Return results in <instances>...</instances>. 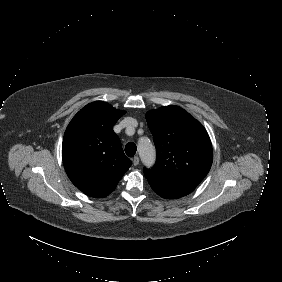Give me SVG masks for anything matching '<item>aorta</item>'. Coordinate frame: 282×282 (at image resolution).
Wrapping results in <instances>:
<instances>
[{"mask_svg":"<svg viewBox=\"0 0 282 282\" xmlns=\"http://www.w3.org/2000/svg\"><path fill=\"white\" fill-rule=\"evenodd\" d=\"M137 150L139 152L142 163L146 167H151L156 160L155 147L147 137H142L138 141Z\"/></svg>","mask_w":282,"mask_h":282,"instance_id":"aorta-1","label":"aorta"}]
</instances>
